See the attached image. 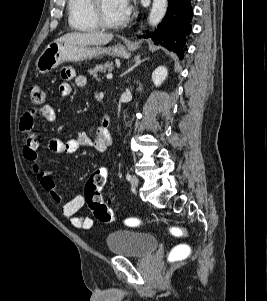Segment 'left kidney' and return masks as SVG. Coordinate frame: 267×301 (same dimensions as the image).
<instances>
[{"mask_svg": "<svg viewBox=\"0 0 267 301\" xmlns=\"http://www.w3.org/2000/svg\"><path fill=\"white\" fill-rule=\"evenodd\" d=\"M168 70L164 66H159L152 73V81L156 87H159L167 78Z\"/></svg>", "mask_w": 267, "mask_h": 301, "instance_id": "5707ae66", "label": "left kidney"}]
</instances>
